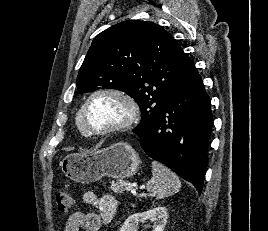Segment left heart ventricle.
Wrapping results in <instances>:
<instances>
[{
	"instance_id": "b2bd125f",
	"label": "left heart ventricle",
	"mask_w": 268,
	"mask_h": 231,
	"mask_svg": "<svg viewBox=\"0 0 268 231\" xmlns=\"http://www.w3.org/2000/svg\"><path fill=\"white\" fill-rule=\"evenodd\" d=\"M126 108L116 97L100 95L94 98L87 109L89 125L94 129H103L121 122L125 118Z\"/></svg>"
}]
</instances>
